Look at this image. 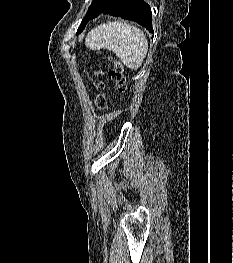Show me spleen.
Wrapping results in <instances>:
<instances>
[{
    "label": "spleen",
    "instance_id": "obj_1",
    "mask_svg": "<svg viewBox=\"0 0 233 263\" xmlns=\"http://www.w3.org/2000/svg\"><path fill=\"white\" fill-rule=\"evenodd\" d=\"M86 47L112 51L129 69L142 66L148 51V41L139 28L123 21L101 24L86 37Z\"/></svg>",
    "mask_w": 233,
    "mask_h": 263
}]
</instances>
